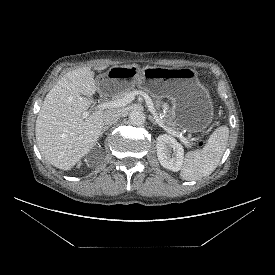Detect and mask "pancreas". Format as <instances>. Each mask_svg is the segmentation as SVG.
<instances>
[{"instance_id":"obj_1","label":"pancreas","mask_w":275,"mask_h":275,"mask_svg":"<svg viewBox=\"0 0 275 275\" xmlns=\"http://www.w3.org/2000/svg\"><path fill=\"white\" fill-rule=\"evenodd\" d=\"M132 91H135L134 89L130 88V89H125V90H122L118 93H116L113 98L114 99H121L123 98L125 95H127L128 93L132 92ZM156 104V107L159 109L160 107L163 109V112H161L163 118H162V121L163 123L167 126V127H170L174 130H179L180 128L177 127L172 115H171V112H169V106L167 103H164L162 101H156L155 102Z\"/></svg>"}]
</instances>
